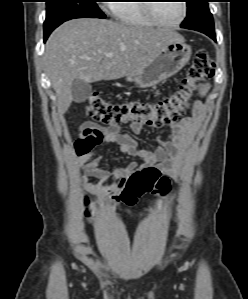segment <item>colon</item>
Here are the masks:
<instances>
[{
  "label": "colon",
  "mask_w": 248,
  "mask_h": 299,
  "mask_svg": "<svg viewBox=\"0 0 248 299\" xmlns=\"http://www.w3.org/2000/svg\"><path fill=\"white\" fill-rule=\"evenodd\" d=\"M214 74L215 64L209 54L206 51H198L180 87L170 96L156 102L140 100L113 102L98 94H92L87 100L86 111L94 120L104 124L144 122L152 126H161L175 122L186 113L202 84L213 78ZM121 184L120 199L130 206L146 193L154 198H160L170 189L169 180L162 177L159 170L153 166L134 171L128 178L122 180Z\"/></svg>",
  "instance_id": "colon-1"
}]
</instances>
